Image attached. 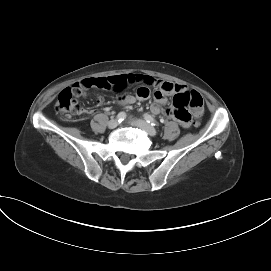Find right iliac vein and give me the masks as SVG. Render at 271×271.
Returning a JSON list of instances; mask_svg holds the SVG:
<instances>
[{
    "label": "right iliac vein",
    "instance_id": "obj_1",
    "mask_svg": "<svg viewBox=\"0 0 271 271\" xmlns=\"http://www.w3.org/2000/svg\"><path fill=\"white\" fill-rule=\"evenodd\" d=\"M118 125H119V121H118L117 119H112V120H110L109 123H108V127H109L110 129H114V128H116Z\"/></svg>",
    "mask_w": 271,
    "mask_h": 271
}]
</instances>
